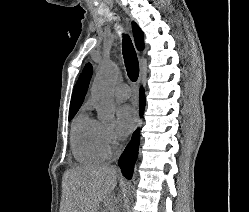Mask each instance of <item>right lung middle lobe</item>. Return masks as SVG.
I'll list each match as a JSON object with an SVG mask.
<instances>
[{
    "mask_svg": "<svg viewBox=\"0 0 249 212\" xmlns=\"http://www.w3.org/2000/svg\"><path fill=\"white\" fill-rule=\"evenodd\" d=\"M78 110H70L69 111V121L72 120V118L75 116Z\"/></svg>",
    "mask_w": 249,
    "mask_h": 212,
    "instance_id": "dd1d6c3e",
    "label": "right lung middle lobe"
}]
</instances>
